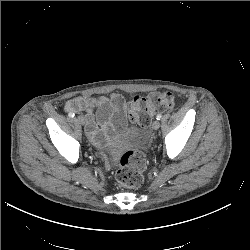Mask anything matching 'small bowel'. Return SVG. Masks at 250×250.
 <instances>
[{
  "label": "small bowel",
  "instance_id": "small-bowel-1",
  "mask_svg": "<svg viewBox=\"0 0 250 250\" xmlns=\"http://www.w3.org/2000/svg\"><path fill=\"white\" fill-rule=\"evenodd\" d=\"M125 101L119 94L105 96H78L66 102L64 111L67 113H83L85 131L95 145H103L111 131L110 119L115 113L123 115Z\"/></svg>",
  "mask_w": 250,
  "mask_h": 250
}]
</instances>
